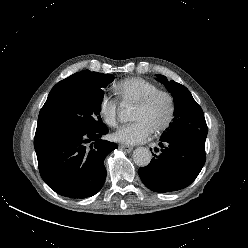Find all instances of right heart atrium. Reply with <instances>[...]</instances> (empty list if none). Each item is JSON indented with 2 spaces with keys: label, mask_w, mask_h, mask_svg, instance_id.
I'll use <instances>...</instances> for the list:
<instances>
[{
  "label": "right heart atrium",
  "mask_w": 248,
  "mask_h": 248,
  "mask_svg": "<svg viewBox=\"0 0 248 248\" xmlns=\"http://www.w3.org/2000/svg\"><path fill=\"white\" fill-rule=\"evenodd\" d=\"M99 114L110 127H115L118 122L119 101L116 97L104 94L99 101Z\"/></svg>",
  "instance_id": "d8ad5b80"
}]
</instances>
